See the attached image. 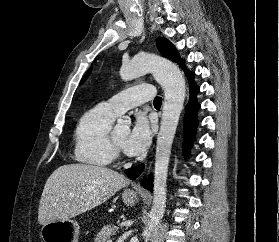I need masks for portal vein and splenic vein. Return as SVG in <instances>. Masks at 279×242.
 <instances>
[{
  "instance_id": "1",
  "label": "portal vein and splenic vein",
  "mask_w": 279,
  "mask_h": 242,
  "mask_svg": "<svg viewBox=\"0 0 279 242\" xmlns=\"http://www.w3.org/2000/svg\"><path fill=\"white\" fill-rule=\"evenodd\" d=\"M107 242H112L111 240H108Z\"/></svg>"
}]
</instances>
